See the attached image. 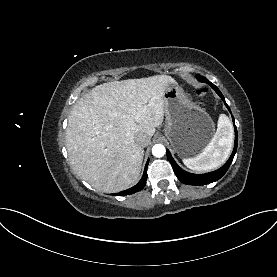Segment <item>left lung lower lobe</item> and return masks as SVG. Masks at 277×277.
Wrapping results in <instances>:
<instances>
[{
    "label": "left lung lower lobe",
    "instance_id": "1",
    "mask_svg": "<svg viewBox=\"0 0 277 277\" xmlns=\"http://www.w3.org/2000/svg\"><path fill=\"white\" fill-rule=\"evenodd\" d=\"M197 79L201 82H205V83L209 84L211 86V88L214 89L215 92L222 98V100L224 101V104L226 105V107L230 111L228 105L225 102V99H224L222 93L220 92V90L214 84H212L206 78L197 77ZM233 123H234V118H233ZM234 127H235V143H234L233 152H232L230 158L228 159V161L221 168H219L216 171L206 173V174L188 173V172L184 171L183 169H181L177 165V163L172 158L169 150H167V159L171 163V165L173 167V170H174V173L176 174L177 178L182 183L187 184V185H205V184H209V183H212L214 181L219 180L226 173V171L228 170L230 164L232 163V160L234 158L236 150H237L238 134H237V129H236L235 123H234Z\"/></svg>",
    "mask_w": 277,
    "mask_h": 277
}]
</instances>
